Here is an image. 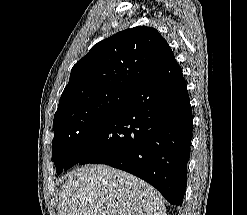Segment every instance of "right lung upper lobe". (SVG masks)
I'll list each match as a JSON object with an SVG mask.
<instances>
[{
  "label": "right lung upper lobe",
  "mask_w": 247,
  "mask_h": 215,
  "mask_svg": "<svg viewBox=\"0 0 247 215\" xmlns=\"http://www.w3.org/2000/svg\"><path fill=\"white\" fill-rule=\"evenodd\" d=\"M173 55L159 32L138 26L94 45L72 68L60 99L69 93L97 90L133 92L147 82Z\"/></svg>",
  "instance_id": "1"
}]
</instances>
